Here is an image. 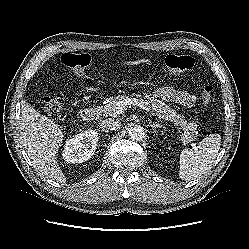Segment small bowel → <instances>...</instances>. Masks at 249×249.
Masks as SVG:
<instances>
[{
	"mask_svg": "<svg viewBox=\"0 0 249 249\" xmlns=\"http://www.w3.org/2000/svg\"><path fill=\"white\" fill-rule=\"evenodd\" d=\"M155 95L162 100L185 107L192 106L196 101V96L194 94L171 86L158 88L155 91Z\"/></svg>",
	"mask_w": 249,
	"mask_h": 249,
	"instance_id": "obj_1",
	"label": "small bowel"
}]
</instances>
